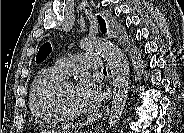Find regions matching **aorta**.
I'll use <instances>...</instances> for the list:
<instances>
[{"instance_id": "obj_1", "label": "aorta", "mask_w": 184, "mask_h": 133, "mask_svg": "<svg viewBox=\"0 0 184 133\" xmlns=\"http://www.w3.org/2000/svg\"><path fill=\"white\" fill-rule=\"evenodd\" d=\"M81 48L101 54L111 71L113 96L108 128L112 130L120 120L128 98L129 90V64L123 51L110 41L98 38H86L80 43Z\"/></svg>"}]
</instances>
